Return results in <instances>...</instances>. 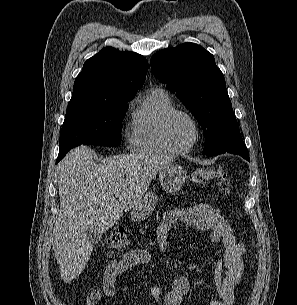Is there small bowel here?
<instances>
[{
  "label": "small bowel",
  "mask_w": 297,
  "mask_h": 305,
  "mask_svg": "<svg viewBox=\"0 0 297 305\" xmlns=\"http://www.w3.org/2000/svg\"><path fill=\"white\" fill-rule=\"evenodd\" d=\"M177 223H185L198 230L211 231V240L221 242L224 256L215 265L214 280L217 297L201 305H233L235 291L242 279L247 263L246 250L233 234L228 221L215 207L201 203L192 207L173 208L163 217L158 231L157 244L162 251L168 248V233ZM150 254L141 249L130 250L118 259L110 262L105 269L102 287H94L88 293L86 305H97L103 296L112 298L115 295L117 277L128 270L149 263ZM189 282L185 277H176L172 289L162 300L163 290L153 287L150 296L159 305H180L189 292Z\"/></svg>",
  "instance_id": "obj_1"
}]
</instances>
